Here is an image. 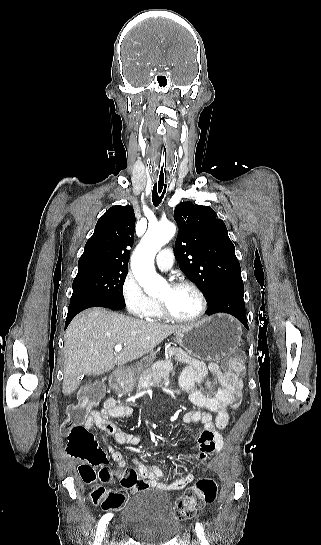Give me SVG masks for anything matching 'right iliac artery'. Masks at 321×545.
Instances as JSON below:
<instances>
[{
  "instance_id": "1",
  "label": "right iliac artery",
  "mask_w": 321,
  "mask_h": 545,
  "mask_svg": "<svg viewBox=\"0 0 321 545\" xmlns=\"http://www.w3.org/2000/svg\"><path fill=\"white\" fill-rule=\"evenodd\" d=\"M112 516L113 515L111 513H107L100 519L99 524H98V528H97V533H96L94 545H101L103 535H104V532H105V527L108 524V522L111 520Z\"/></svg>"
}]
</instances>
